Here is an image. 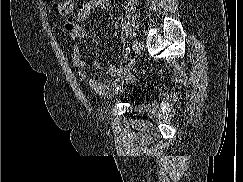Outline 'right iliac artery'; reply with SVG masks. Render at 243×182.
Returning <instances> with one entry per match:
<instances>
[{
    "label": "right iliac artery",
    "mask_w": 243,
    "mask_h": 182,
    "mask_svg": "<svg viewBox=\"0 0 243 182\" xmlns=\"http://www.w3.org/2000/svg\"><path fill=\"white\" fill-rule=\"evenodd\" d=\"M129 53H130V48L127 47V48L125 49V56H128Z\"/></svg>",
    "instance_id": "1"
}]
</instances>
